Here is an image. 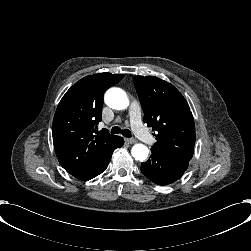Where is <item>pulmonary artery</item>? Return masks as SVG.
Masks as SVG:
<instances>
[{
    "label": "pulmonary artery",
    "instance_id": "pulmonary-artery-1",
    "mask_svg": "<svg viewBox=\"0 0 251 251\" xmlns=\"http://www.w3.org/2000/svg\"><path fill=\"white\" fill-rule=\"evenodd\" d=\"M128 115L130 125L136 137L140 140H145L147 145H154L156 143V136L154 134H149V131L144 128L142 124V109L138 102L133 101L129 104Z\"/></svg>",
    "mask_w": 251,
    "mask_h": 251
}]
</instances>
